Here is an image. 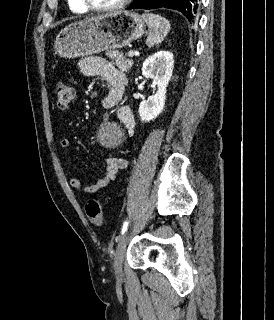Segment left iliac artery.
<instances>
[{
    "label": "left iliac artery",
    "instance_id": "left-iliac-artery-1",
    "mask_svg": "<svg viewBox=\"0 0 274 320\" xmlns=\"http://www.w3.org/2000/svg\"><path fill=\"white\" fill-rule=\"evenodd\" d=\"M127 227H128V221L126 220V221L123 223L122 230H121V234H124V233H125V231L127 230Z\"/></svg>",
    "mask_w": 274,
    "mask_h": 320
}]
</instances>
